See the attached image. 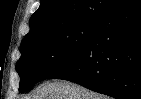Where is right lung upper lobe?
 Returning a JSON list of instances; mask_svg holds the SVG:
<instances>
[{
	"mask_svg": "<svg viewBox=\"0 0 141 99\" xmlns=\"http://www.w3.org/2000/svg\"><path fill=\"white\" fill-rule=\"evenodd\" d=\"M131 0H41L22 42L80 21H100Z\"/></svg>",
	"mask_w": 141,
	"mask_h": 99,
	"instance_id": "obj_1",
	"label": "right lung upper lobe"
}]
</instances>
